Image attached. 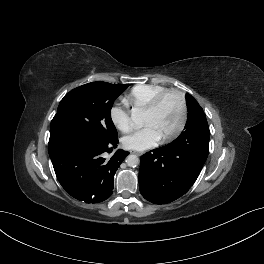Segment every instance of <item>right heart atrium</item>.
<instances>
[{
  "label": "right heart atrium",
  "mask_w": 264,
  "mask_h": 264,
  "mask_svg": "<svg viewBox=\"0 0 264 264\" xmlns=\"http://www.w3.org/2000/svg\"><path fill=\"white\" fill-rule=\"evenodd\" d=\"M110 119L115 128L123 133L131 129L130 112L123 106H112L110 109Z\"/></svg>",
  "instance_id": "obj_1"
}]
</instances>
